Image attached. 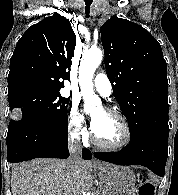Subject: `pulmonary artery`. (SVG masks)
Listing matches in <instances>:
<instances>
[{
  "label": "pulmonary artery",
  "instance_id": "e3ab8cb5",
  "mask_svg": "<svg viewBox=\"0 0 178 195\" xmlns=\"http://www.w3.org/2000/svg\"><path fill=\"white\" fill-rule=\"evenodd\" d=\"M94 86L103 97H109L112 93L111 82L103 73H99L95 76Z\"/></svg>",
  "mask_w": 178,
  "mask_h": 195
}]
</instances>
